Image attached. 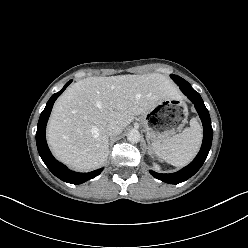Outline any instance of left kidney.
<instances>
[{
  "label": "left kidney",
  "mask_w": 248,
  "mask_h": 248,
  "mask_svg": "<svg viewBox=\"0 0 248 248\" xmlns=\"http://www.w3.org/2000/svg\"><path fill=\"white\" fill-rule=\"evenodd\" d=\"M153 166L156 168V169H159V166L155 163H153Z\"/></svg>",
  "instance_id": "obj_1"
}]
</instances>
